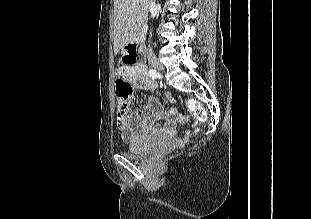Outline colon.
Here are the masks:
<instances>
[{
	"mask_svg": "<svg viewBox=\"0 0 311 219\" xmlns=\"http://www.w3.org/2000/svg\"><path fill=\"white\" fill-rule=\"evenodd\" d=\"M127 53V63L135 64V55L129 54L128 48ZM115 87L118 101V116H123L126 114L128 109L129 100L133 91L132 86L127 80V77L125 75H121L116 79ZM187 107L198 121H204L206 119V110L197 101H188Z\"/></svg>",
	"mask_w": 311,
	"mask_h": 219,
	"instance_id": "obj_1",
	"label": "colon"
}]
</instances>
